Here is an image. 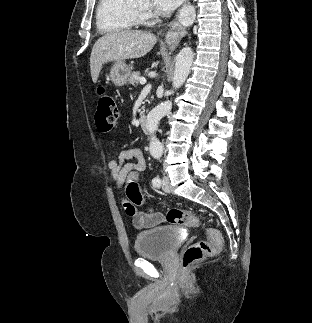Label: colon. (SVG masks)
<instances>
[{"instance_id": "obj_1", "label": "colon", "mask_w": 312, "mask_h": 323, "mask_svg": "<svg viewBox=\"0 0 312 323\" xmlns=\"http://www.w3.org/2000/svg\"><path fill=\"white\" fill-rule=\"evenodd\" d=\"M119 119V106L116 105L112 95H104L98 100L95 115V124L101 132L112 130ZM138 172H131L130 177H126L125 182L127 200L122 202L123 209L130 217L136 213L135 207L143 203L140 187L136 182ZM167 221L173 225L199 226V218L187 210L171 207L167 211ZM207 241H200L190 245L183 254L182 269H189L191 264L199 263L204 257L212 256L223 249L224 240L217 235L214 230H207Z\"/></svg>"}]
</instances>
